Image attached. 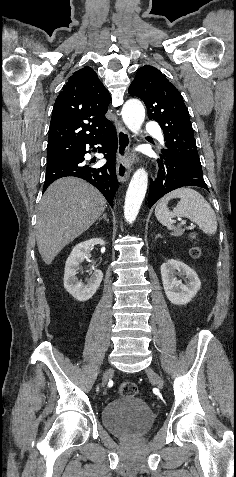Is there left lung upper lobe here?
<instances>
[{"mask_svg": "<svg viewBox=\"0 0 236 477\" xmlns=\"http://www.w3.org/2000/svg\"><path fill=\"white\" fill-rule=\"evenodd\" d=\"M128 92L142 99L149 119L160 124L166 142V149L160 152L187 161L202 172L188 109L174 85L158 69L144 65Z\"/></svg>", "mask_w": 236, "mask_h": 477, "instance_id": "5c2ea615", "label": "left lung upper lobe"}]
</instances>
